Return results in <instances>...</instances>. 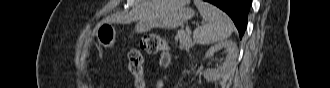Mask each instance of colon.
<instances>
[{
    "label": "colon",
    "instance_id": "colon-1",
    "mask_svg": "<svg viewBox=\"0 0 330 88\" xmlns=\"http://www.w3.org/2000/svg\"><path fill=\"white\" fill-rule=\"evenodd\" d=\"M148 54H161V64L167 67L170 62L169 46L167 42L157 34L144 35L140 40L139 49L129 52V69L134 77L135 88H144V60L141 52Z\"/></svg>",
    "mask_w": 330,
    "mask_h": 88
}]
</instances>
